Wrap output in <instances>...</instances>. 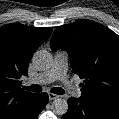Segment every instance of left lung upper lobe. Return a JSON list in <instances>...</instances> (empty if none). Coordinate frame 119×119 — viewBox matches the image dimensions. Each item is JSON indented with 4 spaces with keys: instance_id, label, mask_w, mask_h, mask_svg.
<instances>
[{
    "instance_id": "1",
    "label": "left lung upper lobe",
    "mask_w": 119,
    "mask_h": 119,
    "mask_svg": "<svg viewBox=\"0 0 119 119\" xmlns=\"http://www.w3.org/2000/svg\"><path fill=\"white\" fill-rule=\"evenodd\" d=\"M51 49L69 53L73 72L84 79L81 97L119 110V36L91 20L58 27Z\"/></svg>"
}]
</instances>
